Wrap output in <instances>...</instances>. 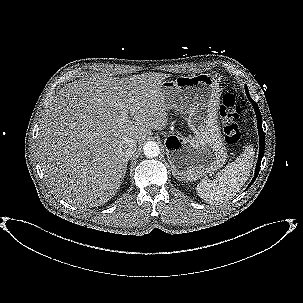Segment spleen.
Instances as JSON below:
<instances>
[{
	"label": "spleen",
	"instance_id": "1",
	"mask_svg": "<svg viewBox=\"0 0 303 303\" xmlns=\"http://www.w3.org/2000/svg\"><path fill=\"white\" fill-rule=\"evenodd\" d=\"M253 147L244 152L216 174L215 179H203L197 185L198 195L207 203L219 205L231 200L248 180L254 162Z\"/></svg>",
	"mask_w": 303,
	"mask_h": 303
}]
</instances>
